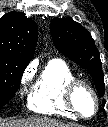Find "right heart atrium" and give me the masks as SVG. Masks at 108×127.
Returning <instances> with one entry per match:
<instances>
[{
    "mask_svg": "<svg viewBox=\"0 0 108 127\" xmlns=\"http://www.w3.org/2000/svg\"><path fill=\"white\" fill-rule=\"evenodd\" d=\"M33 76V67L32 66H28L22 76H21V79H20V82H21V85L22 86H26L28 85V83L30 82L31 78Z\"/></svg>",
    "mask_w": 108,
    "mask_h": 127,
    "instance_id": "d8ad5b80",
    "label": "right heart atrium"
}]
</instances>
